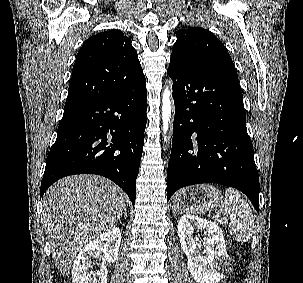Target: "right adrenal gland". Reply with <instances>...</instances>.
Segmentation results:
<instances>
[{"instance_id":"obj_1","label":"right adrenal gland","mask_w":303,"mask_h":283,"mask_svg":"<svg viewBox=\"0 0 303 283\" xmlns=\"http://www.w3.org/2000/svg\"><path fill=\"white\" fill-rule=\"evenodd\" d=\"M122 216L126 219L127 218V212L126 209H124Z\"/></svg>"}]
</instances>
